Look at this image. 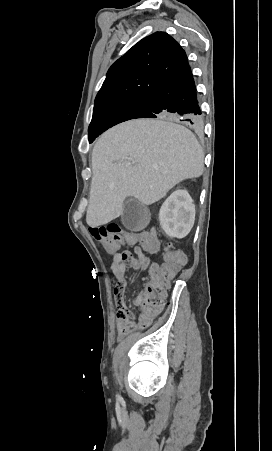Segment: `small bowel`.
<instances>
[{"label":"small bowel","mask_w":272,"mask_h":451,"mask_svg":"<svg viewBox=\"0 0 272 451\" xmlns=\"http://www.w3.org/2000/svg\"><path fill=\"white\" fill-rule=\"evenodd\" d=\"M143 251H146L149 253V249H141L140 246H138V245L134 246V248H133V252H138L139 256H147L151 263V258L148 255H146ZM110 267H111V265H110ZM113 275L116 278V284L114 286V294H115L116 304H117V308H118L117 312H116L115 325H116V329H117L119 335H121V326H122L121 312L122 311H130L125 303V291H126V287H127V280H126V276H125L126 274H113ZM132 302H133V304H138L139 299H134ZM145 315H146V313H141L139 316V319L142 320Z\"/></svg>","instance_id":"c3829d8e"}]
</instances>
